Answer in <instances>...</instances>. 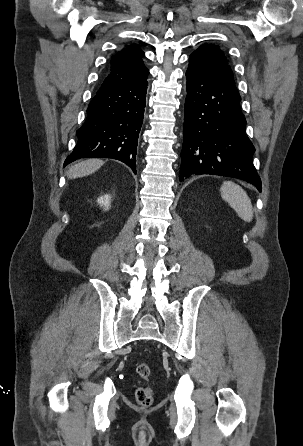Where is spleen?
<instances>
[{
    "mask_svg": "<svg viewBox=\"0 0 303 446\" xmlns=\"http://www.w3.org/2000/svg\"><path fill=\"white\" fill-rule=\"evenodd\" d=\"M222 198L236 211L238 216L250 222L253 218L251 200L245 190L232 181H225L221 186Z\"/></svg>",
    "mask_w": 303,
    "mask_h": 446,
    "instance_id": "3e777b00",
    "label": "spleen"
}]
</instances>
